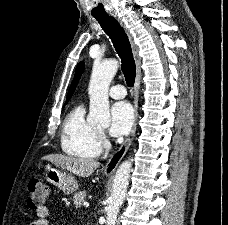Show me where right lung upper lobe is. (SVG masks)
I'll return each mask as SVG.
<instances>
[{"instance_id":"obj_1","label":"right lung upper lobe","mask_w":228,"mask_h":225,"mask_svg":"<svg viewBox=\"0 0 228 225\" xmlns=\"http://www.w3.org/2000/svg\"><path fill=\"white\" fill-rule=\"evenodd\" d=\"M84 71V63L83 62H80L76 68V73H75V77H74V80L72 82V85L69 89V92H68V96H67V100L70 99V97L72 96L79 80H80V77H81V74L83 73Z\"/></svg>"}]
</instances>
